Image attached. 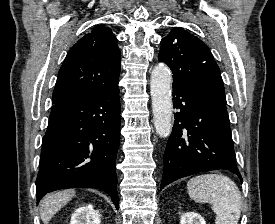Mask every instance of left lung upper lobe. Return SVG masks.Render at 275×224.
<instances>
[{
    "label": "left lung upper lobe",
    "mask_w": 275,
    "mask_h": 224,
    "mask_svg": "<svg viewBox=\"0 0 275 224\" xmlns=\"http://www.w3.org/2000/svg\"><path fill=\"white\" fill-rule=\"evenodd\" d=\"M158 59L171 69L173 86L195 90L226 103L219 67L199 38L183 28H174L162 39Z\"/></svg>",
    "instance_id": "obj_1"
}]
</instances>
